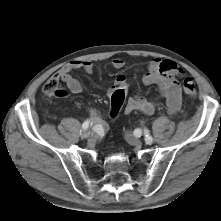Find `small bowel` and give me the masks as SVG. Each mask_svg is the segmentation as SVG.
Listing matches in <instances>:
<instances>
[{"label":"small bowel","mask_w":221,"mask_h":221,"mask_svg":"<svg viewBox=\"0 0 221 221\" xmlns=\"http://www.w3.org/2000/svg\"><path fill=\"white\" fill-rule=\"evenodd\" d=\"M125 63L120 58H115L111 61V66L114 69L120 70ZM83 70L87 74H92L95 71V66L89 60H76L62 67L53 77L63 82L69 91L73 94H78L82 91L81 82L72 76V71ZM182 70L171 60L160 58L152 59L149 62L148 70L143 76V83L146 86H157L161 96L166 101L167 110L170 114H176L182 104V90L176 76H180ZM116 88H124L128 91L127 78L123 74H119L113 85L107 90V94L111 95ZM156 108L155 102L146 99L145 97L135 94L128 98L125 111L131 113L139 111L146 115L154 113Z\"/></svg>","instance_id":"1"}]
</instances>
